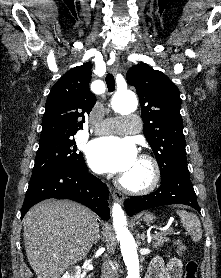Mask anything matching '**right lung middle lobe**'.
<instances>
[{
  "instance_id": "obj_1",
  "label": "right lung middle lobe",
  "mask_w": 221,
  "mask_h": 278,
  "mask_svg": "<svg viewBox=\"0 0 221 278\" xmlns=\"http://www.w3.org/2000/svg\"><path fill=\"white\" fill-rule=\"evenodd\" d=\"M84 165L83 155L77 153L76 142L70 136L56 140H45L39 142L30 181L56 170H80Z\"/></svg>"
}]
</instances>
